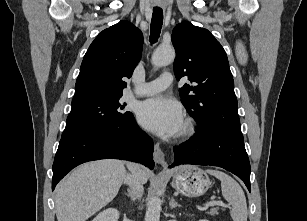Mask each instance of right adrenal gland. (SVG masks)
<instances>
[{"label":"right adrenal gland","mask_w":307,"mask_h":221,"mask_svg":"<svg viewBox=\"0 0 307 221\" xmlns=\"http://www.w3.org/2000/svg\"><path fill=\"white\" fill-rule=\"evenodd\" d=\"M126 195H127L128 197H130L132 201L135 200V194H134V192L132 191L131 188H128V189H127Z\"/></svg>","instance_id":"right-adrenal-gland-1"}]
</instances>
